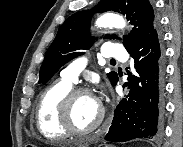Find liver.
<instances>
[{
    "instance_id": "1",
    "label": "liver",
    "mask_w": 183,
    "mask_h": 147,
    "mask_svg": "<svg viewBox=\"0 0 183 147\" xmlns=\"http://www.w3.org/2000/svg\"><path fill=\"white\" fill-rule=\"evenodd\" d=\"M63 145L64 146L65 145H70L71 146V145H79V143H77V142H67V143H64Z\"/></svg>"
}]
</instances>
